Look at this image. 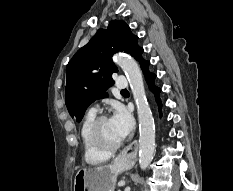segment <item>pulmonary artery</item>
<instances>
[{
	"label": "pulmonary artery",
	"instance_id": "1",
	"mask_svg": "<svg viewBox=\"0 0 233 191\" xmlns=\"http://www.w3.org/2000/svg\"><path fill=\"white\" fill-rule=\"evenodd\" d=\"M115 86L118 89H124L128 86V81L124 76H118L115 80ZM91 111L95 112L96 107L91 108Z\"/></svg>",
	"mask_w": 233,
	"mask_h": 191
}]
</instances>
